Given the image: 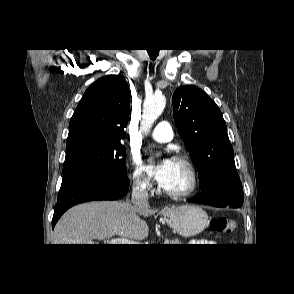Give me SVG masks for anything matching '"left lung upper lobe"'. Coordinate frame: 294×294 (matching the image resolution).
Masks as SVG:
<instances>
[{
	"instance_id": "1",
	"label": "left lung upper lobe",
	"mask_w": 294,
	"mask_h": 294,
	"mask_svg": "<svg viewBox=\"0 0 294 294\" xmlns=\"http://www.w3.org/2000/svg\"><path fill=\"white\" fill-rule=\"evenodd\" d=\"M174 121L194 165L202 193L242 186L226 124L215 102L194 85L178 87L173 94Z\"/></svg>"
}]
</instances>
